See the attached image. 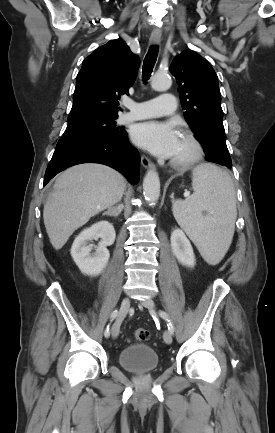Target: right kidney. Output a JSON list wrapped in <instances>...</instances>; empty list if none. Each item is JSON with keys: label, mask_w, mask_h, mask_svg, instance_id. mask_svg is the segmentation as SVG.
<instances>
[{"label": "right kidney", "mask_w": 275, "mask_h": 433, "mask_svg": "<svg viewBox=\"0 0 275 433\" xmlns=\"http://www.w3.org/2000/svg\"><path fill=\"white\" fill-rule=\"evenodd\" d=\"M115 230L108 221H100L83 230L74 240L71 247V256L80 269L86 275L97 276L106 267L110 253L107 246L115 241ZM101 238L96 252L91 254L93 245L88 241Z\"/></svg>", "instance_id": "obj_1"}]
</instances>
